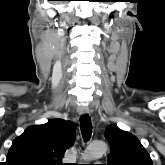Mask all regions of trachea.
I'll list each match as a JSON object with an SVG mask.
<instances>
[{
	"mask_svg": "<svg viewBox=\"0 0 165 165\" xmlns=\"http://www.w3.org/2000/svg\"><path fill=\"white\" fill-rule=\"evenodd\" d=\"M80 128L83 138L86 141L89 140L92 134V123L87 114L80 117Z\"/></svg>",
	"mask_w": 165,
	"mask_h": 165,
	"instance_id": "obj_1",
	"label": "trachea"
}]
</instances>
